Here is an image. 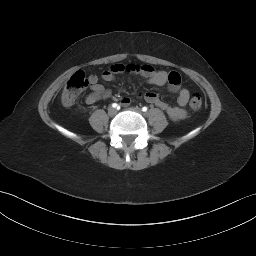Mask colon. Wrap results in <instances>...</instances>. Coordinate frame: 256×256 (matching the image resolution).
<instances>
[{
  "mask_svg": "<svg viewBox=\"0 0 256 256\" xmlns=\"http://www.w3.org/2000/svg\"><path fill=\"white\" fill-rule=\"evenodd\" d=\"M90 84L89 78L84 72L74 73L67 81L61 95V102L65 106L73 105L82 91ZM190 107L193 110H200L203 106V96L199 92L192 94L190 98Z\"/></svg>",
  "mask_w": 256,
  "mask_h": 256,
  "instance_id": "colon-1",
  "label": "colon"
}]
</instances>
